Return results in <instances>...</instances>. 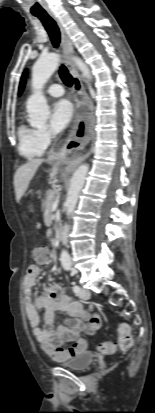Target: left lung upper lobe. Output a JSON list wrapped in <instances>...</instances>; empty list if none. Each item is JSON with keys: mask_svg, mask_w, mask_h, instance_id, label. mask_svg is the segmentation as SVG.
Here are the masks:
<instances>
[{"mask_svg": "<svg viewBox=\"0 0 155 413\" xmlns=\"http://www.w3.org/2000/svg\"><path fill=\"white\" fill-rule=\"evenodd\" d=\"M26 75H27V71H25L22 75L21 82H20V87H19V94H21L23 89H24Z\"/></svg>", "mask_w": 155, "mask_h": 413, "instance_id": "obj_1", "label": "left lung upper lobe"}]
</instances>
